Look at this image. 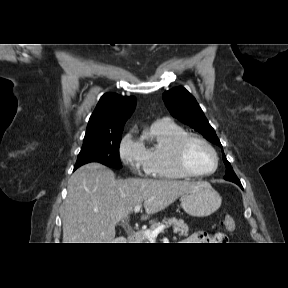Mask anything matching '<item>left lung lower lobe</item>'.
<instances>
[{"instance_id":"obj_1","label":"left lung lower lobe","mask_w":288,"mask_h":288,"mask_svg":"<svg viewBox=\"0 0 288 288\" xmlns=\"http://www.w3.org/2000/svg\"><path fill=\"white\" fill-rule=\"evenodd\" d=\"M234 183H236L237 185H239V186L243 189V187H242L240 181H235Z\"/></svg>"}]
</instances>
